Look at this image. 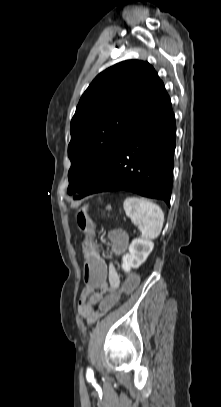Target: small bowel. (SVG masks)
Returning <instances> with one entry per match:
<instances>
[{
  "instance_id": "small-bowel-1",
  "label": "small bowel",
  "mask_w": 221,
  "mask_h": 407,
  "mask_svg": "<svg viewBox=\"0 0 221 407\" xmlns=\"http://www.w3.org/2000/svg\"><path fill=\"white\" fill-rule=\"evenodd\" d=\"M109 268L108 285L101 286L100 292H87L86 287L84 288L81 299L79 301L78 311L83 319V321L91 325L93 324L101 315L99 301L106 295L107 292H111L116 289L117 285H121L120 276L112 263H107Z\"/></svg>"
}]
</instances>
